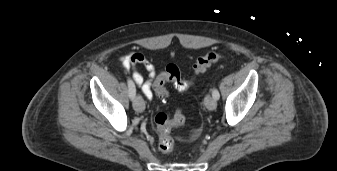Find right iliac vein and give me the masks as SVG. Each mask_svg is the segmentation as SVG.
Returning a JSON list of instances; mask_svg holds the SVG:
<instances>
[{
	"label": "right iliac vein",
	"instance_id": "obj_1",
	"mask_svg": "<svg viewBox=\"0 0 337 171\" xmlns=\"http://www.w3.org/2000/svg\"><path fill=\"white\" fill-rule=\"evenodd\" d=\"M133 108L136 112L142 113L145 110V103L140 95L133 99Z\"/></svg>",
	"mask_w": 337,
	"mask_h": 171
}]
</instances>
